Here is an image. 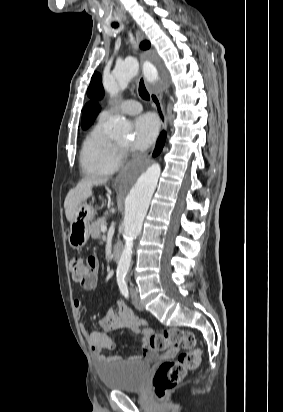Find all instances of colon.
Instances as JSON below:
<instances>
[{"label": "colon", "instance_id": "obj_1", "mask_svg": "<svg viewBox=\"0 0 283 412\" xmlns=\"http://www.w3.org/2000/svg\"><path fill=\"white\" fill-rule=\"evenodd\" d=\"M98 268L96 257L90 256L84 261L73 258L69 262L71 276L76 281L94 273ZM149 346L154 350H164L168 347H180L183 351L174 360L162 363L153 377V389L159 399H163L168 391L176 387L189 370L196 369L201 362V352L196 347V337L193 332L170 328L160 334H152Z\"/></svg>", "mask_w": 283, "mask_h": 412}]
</instances>
